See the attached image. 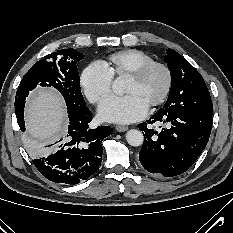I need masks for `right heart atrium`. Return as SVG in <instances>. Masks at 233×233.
Returning a JSON list of instances; mask_svg holds the SVG:
<instances>
[{
	"mask_svg": "<svg viewBox=\"0 0 233 233\" xmlns=\"http://www.w3.org/2000/svg\"><path fill=\"white\" fill-rule=\"evenodd\" d=\"M113 76L100 62H92L87 65L80 75V86L92 103H98L110 92Z\"/></svg>",
	"mask_w": 233,
	"mask_h": 233,
	"instance_id": "d8ad5b80",
	"label": "right heart atrium"
}]
</instances>
